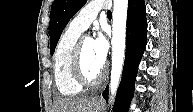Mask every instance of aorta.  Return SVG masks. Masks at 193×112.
<instances>
[{
  "label": "aorta",
  "instance_id": "1",
  "mask_svg": "<svg viewBox=\"0 0 193 112\" xmlns=\"http://www.w3.org/2000/svg\"><path fill=\"white\" fill-rule=\"evenodd\" d=\"M127 10L128 0H113L110 101L113 100L116 90L118 88L124 63Z\"/></svg>",
  "mask_w": 193,
  "mask_h": 112
}]
</instances>
